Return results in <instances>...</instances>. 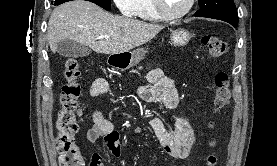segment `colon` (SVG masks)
I'll list each match as a JSON object with an SVG mask.
<instances>
[{
	"label": "colon",
	"instance_id": "5ec220e1",
	"mask_svg": "<svg viewBox=\"0 0 277 166\" xmlns=\"http://www.w3.org/2000/svg\"><path fill=\"white\" fill-rule=\"evenodd\" d=\"M201 43L206 56L210 59L221 57L228 50V44L218 37L204 36ZM80 75L78 59L67 58L64 65L65 83L60 95L61 109L56 120V143L60 166H86L84 157L75 141V134L78 130L75 113L81 96ZM229 100L230 79L227 73L220 72L214 79V110L220 112L228 105ZM217 161L216 154L212 152L208 155L206 163L207 166H216Z\"/></svg>",
	"mask_w": 277,
	"mask_h": 166
}]
</instances>
